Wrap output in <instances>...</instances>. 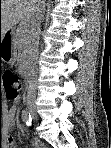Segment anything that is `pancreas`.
I'll list each match as a JSON object with an SVG mask.
<instances>
[{
  "instance_id": "pancreas-1",
  "label": "pancreas",
  "mask_w": 111,
  "mask_h": 148,
  "mask_svg": "<svg viewBox=\"0 0 111 148\" xmlns=\"http://www.w3.org/2000/svg\"><path fill=\"white\" fill-rule=\"evenodd\" d=\"M16 43L19 51V65L20 68L26 69V57L27 51L29 47V34H28V26L19 25L16 31Z\"/></svg>"
}]
</instances>
